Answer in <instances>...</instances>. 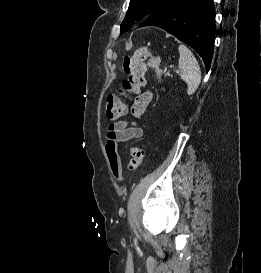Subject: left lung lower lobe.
<instances>
[{
	"mask_svg": "<svg viewBox=\"0 0 261 273\" xmlns=\"http://www.w3.org/2000/svg\"><path fill=\"white\" fill-rule=\"evenodd\" d=\"M215 15L213 0H171L139 27L156 26L174 35L201 56L208 72L215 41Z\"/></svg>",
	"mask_w": 261,
	"mask_h": 273,
	"instance_id": "left-lung-lower-lobe-1",
	"label": "left lung lower lobe"
}]
</instances>
